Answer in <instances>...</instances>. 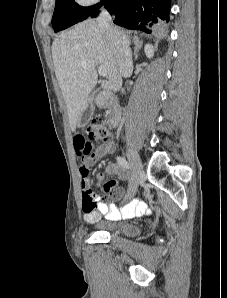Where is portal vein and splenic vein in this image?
I'll list each match as a JSON object with an SVG mask.
<instances>
[{"label": "portal vein and splenic vein", "mask_w": 227, "mask_h": 298, "mask_svg": "<svg viewBox=\"0 0 227 298\" xmlns=\"http://www.w3.org/2000/svg\"><path fill=\"white\" fill-rule=\"evenodd\" d=\"M98 73L100 76L106 77L107 76V69L104 66L98 67Z\"/></svg>", "instance_id": "portal-vein-and-splenic-vein-1"}]
</instances>
